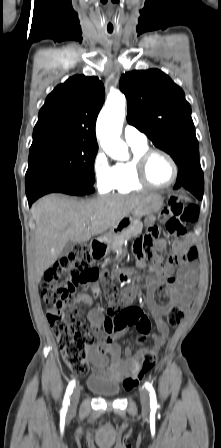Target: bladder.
I'll use <instances>...</instances> for the list:
<instances>
[{
    "mask_svg": "<svg viewBox=\"0 0 221 448\" xmlns=\"http://www.w3.org/2000/svg\"><path fill=\"white\" fill-rule=\"evenodd\" d=\"M87 388L99 398L114 399L121 391L120 384L103 375L92 374L87 378Z\"/></svg>",
    "mask_w": 221,
    "mask_h": 448,
    "instance_id": "1",
    "label": "bladder"
}]
</instances>
